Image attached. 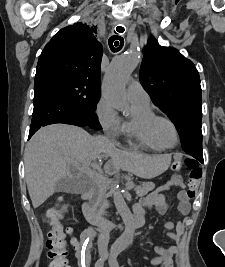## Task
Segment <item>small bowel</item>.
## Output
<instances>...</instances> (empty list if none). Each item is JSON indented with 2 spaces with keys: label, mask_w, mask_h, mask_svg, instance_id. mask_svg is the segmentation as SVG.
I'll return each mask as SVG.
<instances>
[{
  "label": "small bowel",
  "mask_w": 225,
  "mask_h": 267,
  "mask_svg": "<svg viewBox=\"0 0 225 267\" xmlns=\"http://www.w3.org/2000/svg\"><path fill=\"white\" fill-rule=\"evenodd\" d=\"M169 189H178V210L181 214H187L190 209L189 196L185 189L184 182L180 176H173L165 185L148 194L135 206V214L144 220V215L147 210L155 209L160 213H165L169 207L170 202L165 198L163 191ZM164 226L167 230V236L177 242L179 240V232L181 230V223L177 226L171 221H165ZM176 229V231H173ZM90 230H86L82 234V244L75 245V255L82 263H88L90 255L86 250V245L90 237ZM156 255L151 259V264L155 267H173V256L177 252L176 246L162 247L155 246ZM147 267V266H144Z\"/></svg>",
  "instance_id": "obj_1"
}]
</instances>
